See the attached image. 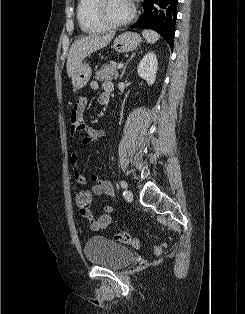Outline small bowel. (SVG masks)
I'll use <instances>...</instances> for the list:
<instances>
[{"label":"small bowel","instance_id":"c3829d8e","mask_svg":"<svg viewBox=\"0 0 245 314\" xmlns=\"http://www.w3.org/2000/svg\"><path fill=\"white\" fill-rule=\"evenodd\" d=\"M92 89H98L99 84L96 81L91 82L90 84ZM103 92L98 97V102L102 105H105L109 102L110 93L112 91V86L110 83L102 84ZM86 106V99L80 98L75 103L70 114V135L76 137L80 132L85 134L82 136L81 140L83 143H90L97 140L98 138L105 135V132L101 129H95L88 126L84 121V111ZM78 153L77 150H74L72 155V165H73V179L79 185H85L87 182L86 177L80 172L78 166ZM90 180L93 182L91 192L93 195H108L116 202L115 192L112 184L104 179H101L97 175H91ZM104 214L94 217L91 210L85 214H81L83 218L87 219L89 222L90 229L93 231H100L108 228L112 222L111 214L114 212V208L110 205L103 206Z\"/></svg>","mask_w":245,"mask_h":314}]
</instances>
